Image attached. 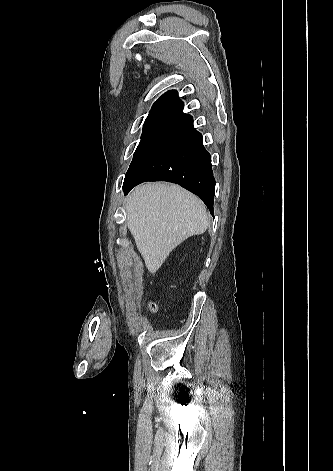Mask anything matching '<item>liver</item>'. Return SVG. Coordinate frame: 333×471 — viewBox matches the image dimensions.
Segmentation results:
<instances>
[{
	"label": "liver",
	"mask_w": 333,
	"mask_h": 471,
	"mask_svg": "<svg viewBox=\"0 0 333 471\" xmlns=\"http://www.w3.org/2000/svg\"><path fill=\"white\" fill-rule=\"evenodd\" d=\"M127 225L150 273L187 238L203 234L208 225L206 207L178 185L146 183L126 199Z\"/></svg>",
	"instance_id": "1"
}]
</instances>
